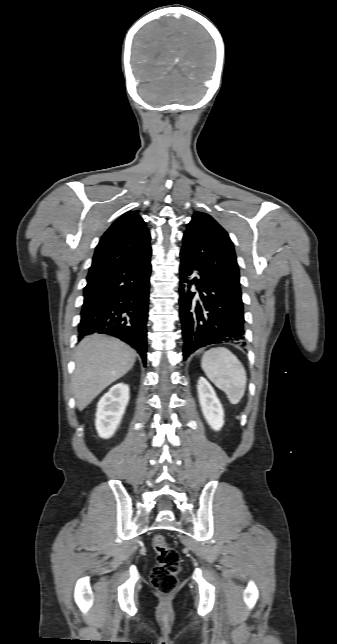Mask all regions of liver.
I'll return each instance as SVG.
<instances>
[{
	"label": "liver",
	"mask_w": 337,
	"mask_h": 644,
	"mask_svg": "<svg viewBox=\"0 0 337 644\" xmlns=\"http://www.w3.org/2000/svg\"><path fill=\"white\" fill-rule=\"evenodd\" d=\"M136 352L119 339L94 334L85 337L75 352L72 392L82 411L106 387L134 365Z\"/></svg>",
	"instance_id": "obj_1"
}]
</instances>
